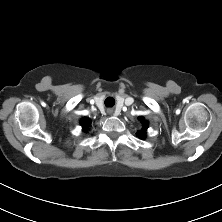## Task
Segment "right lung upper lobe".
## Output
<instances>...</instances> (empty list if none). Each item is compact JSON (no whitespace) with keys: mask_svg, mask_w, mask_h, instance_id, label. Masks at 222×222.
<instances>
[{"mask_svg":"<svg viewBox=\"0 0 222 222\" xmlns=\"http://www.w3.org/2000/svg\"><path fill=\"white\" fill-rule=\"evenodd\" d=\"M91 123L90 119L87 118H83V120H81V125L83 128H85L84 131H87V125Z\"/></svg>","mask_w":222,"mask_h":222,"instance_id":"obj_1","label":"right lung upper lobe"}]
</instances>
